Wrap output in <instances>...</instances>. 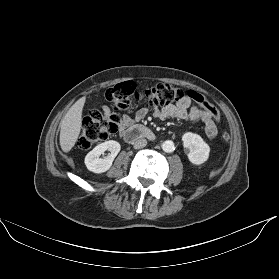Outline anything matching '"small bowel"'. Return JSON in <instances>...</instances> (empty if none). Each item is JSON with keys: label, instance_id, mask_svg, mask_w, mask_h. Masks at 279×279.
Wrapping results in <instances>:
<instances>
[{"label": "small bowel", "instance_id": "obj_1", "mask_svg": "<svg viewBox=\"0 0 279 279\" xmlns=\"http://www.w3.org/2000/svg\"><path fill=\"white\" fill-rule=\"evenodd\" d=\"M103 109L104 111L109 110L107 107H104ZM152 111L153 115L159 120L178 118L186 120L189 123H195L201 120L205 124V133L208 139L211 140L217 135L216 124L211 114L204 108L197 106L190 96L181 98L175 105L152 107ZM147 112V108H142L137 111L134 118L124 115L119 124L121 133L132 127L136 121L143 119Z\"/></svg>", "mask_w": 279, "mask_h": 279}]
</instances>
